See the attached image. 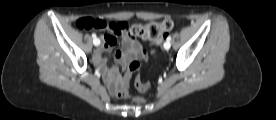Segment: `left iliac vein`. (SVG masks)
I'll return each instance as SVG.
<instances>
[{
    "label": "left iliac vein",
    "instance_id": "obj_1",
    "mask_svg": "<svg viewBox=\"0 0 276 120\" xmlns=\"http://www.w3.org/2000/svg\"><path fill=\"white\" fill-rule=\"evenodd\" d=\"M170 47H171L170 42H167V41H166V42L164 43V48H165L166 50H169Z\"/></svg>",
    "mask_w": 276,
    "mask_h": 120
}]
</instances>
